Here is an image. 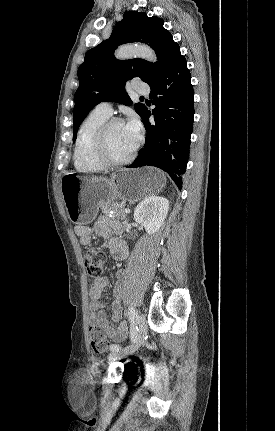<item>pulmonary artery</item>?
I'll use <instances>...</instances> for the list:
<instances>
[{"label":"pulmonary artery","instance_id":"obj_1","mask_svg":"<svg viewBox=\"0 0 275 431\" xmlns=\"http://www.w3.org/2000/svg\"><path fill=\"white\" fill-rule=\"evenodd\" d=\"M134 90L140 94H147L149 92V86L145 83L137 82L133 86ZM95 110H97L100 113H103L107 116H110L113 112L112 104L110 102H101L96 107Z\"/></svg>","mask_w":275,"mask_h":431}]
</instances>
